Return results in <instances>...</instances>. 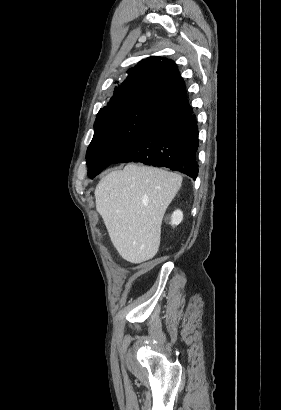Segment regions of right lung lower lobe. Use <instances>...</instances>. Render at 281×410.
<instances>
[{"mask_svg": "<svg viewBox=\"0 0 281 410\" xmlns=\"http://www.w3.org/2000/svg\"><path fill=\"white\" fill-rule=\"evenodd\" d=\"M198 145L196 116L185 98L167 108L113 164L139 162L167 167L195 180Z\"/></svg>", "mask_w": 281, "mask_h": 410, "instance_id": "1", "label": "right lung lower lobe"}]
</instances>
